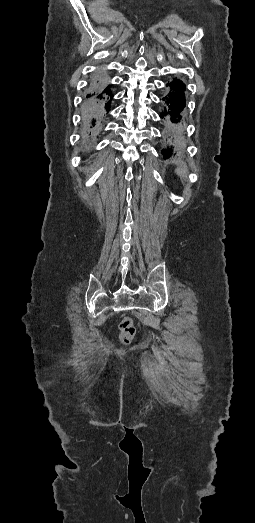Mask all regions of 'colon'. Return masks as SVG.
<instances>
[{"label": "colon", "mask_w": 255, "mask_h": 523, "mask_svg": "<svg viewBox=\"0 0 255 523\" xmlns=\"http://www.w3.org/2000/svg\"><path fill=\"white\" fill-rule=\"evenodd\" d=\"M119 339L122 343L128 344L130 343L136 333L135 325L130 317H124L120 323H119Z\"/></svg>", "instance_id": "1"}]
</instances>
